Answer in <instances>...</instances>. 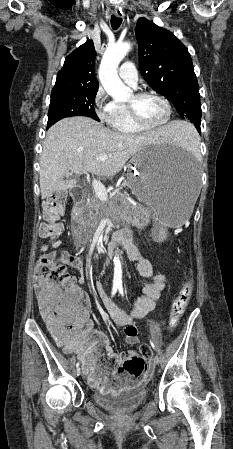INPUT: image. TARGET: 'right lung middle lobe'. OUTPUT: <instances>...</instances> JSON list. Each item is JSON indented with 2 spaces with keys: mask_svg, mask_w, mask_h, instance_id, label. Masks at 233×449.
<instances>
[{
  "mask_svg": "<svg viewBox=\"0 0 233 449\" xmlns=\"http://www.w3.org/2000/svg\"><path fill=\"white\" fill-rule=\"evenodd\" d=\"M96 94L97 90L51 94L48 127L71 116H87L100 121L94 110Z\"/></svg>",
  "mask_w": 233,
  "mask_h": 449,
  "instance_id": "1",
  "label": "right lung middle lobe"
}]
</instances>
